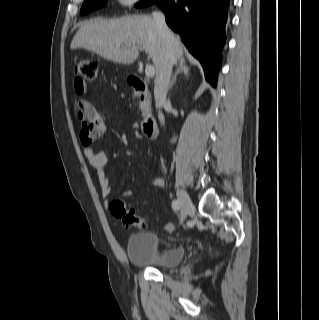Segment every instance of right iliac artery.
I'll return each instance as SVG.
<instances>
[{"instance_id": "1", "label": "right iliac artery", "mask_w": 319, "mask_h": 320, "mask_svg": "<svg viewBox=\"0 0 319 320\" xmlns=\"http://www.w3.org/2000/svg\"><path fill=\"white\" fill-rule=\"evenodd\" d=\"M172 208H173L174 211H178L180 209V203H179L178 200H173Z\"/></svg>"}]
</instances>
